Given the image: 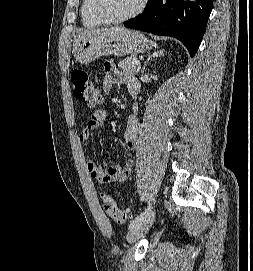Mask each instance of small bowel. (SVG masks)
<instances>
[{
    "label": "small bowel",
    "mask_w": 253,
    "mask_h": 271,
    "mask_svg": "<svg viewBox=\"0 0 253 271\" xmlns=\"http://www.w3.org/2000/svg\"><path fill=\"white\" fill-rule=\"evenodd\" d=\"M104 83L105 92L110 91L113 85H125L130 94L136 98L140 92V84L138 80L127 74L119 72L113 63L107 62L104 65ZM133 109H137L136 103ZM107 113L102 109H96L92 112L91 117L86 127L78 134V140L81 144H87L92 133L98 130L106 121ZM139 119L136 114H132L127 119L126 129L123 135V140L130 150L136 148V140L138 133ZM134 165V160L129 158L124 164L115 163L110 166H99L92 160H87L86 167L92 179L106 183L110 181L125 182L131 174Z\"/></svg>",
    "instance_id": "small-bowel-1"
}]
</instances>
